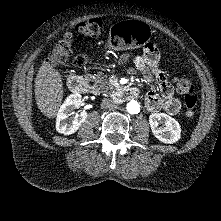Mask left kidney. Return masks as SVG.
Returning a JSON list of instances; mask_svg holds the SVG:
<instances>
[{
  "mask_svg": "<svg viewBox=\"0 0 221 221\" xmlns=\"http://www.w3.org/2000/svg\"><path fill=\"white\" fill-rule=\"evenodd\" d=\"M164 122V128L159 127ZM152 133L161 142L172 144L181 138V128L178 121L165 113H153L149 116Z\"/></svg>",
  "mask_w": 221,
  "mask_h": 221,
  "instance_id": "1",
  "label": "left kidney"
}]
</instances>
